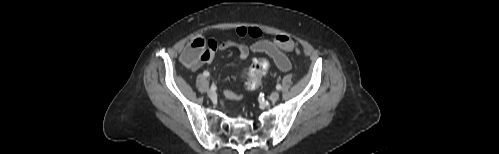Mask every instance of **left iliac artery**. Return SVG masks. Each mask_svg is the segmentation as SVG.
I'll return each mask as SVG.
<instances>
[{
    "mask_svg": "<svg viewBox=\"0 0 499 154\" xmlns=\"http://www.w3.org/2000/svg\"><path fill=\"white\" fill-rule=\"evenodd\" d=\"M276 89L280 90L281 89V85L280 84L276 85Z\"/></svg>",
    "mask_w": 499,
    "mask_h": 154,
    "instance_id": "obj_1",
    "label": "left iliac artery"
}]
</instances>
